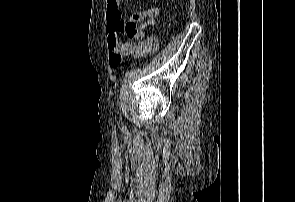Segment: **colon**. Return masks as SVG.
<instances>
[{
  "label": "colon",
  "instance_id": "obj_1",
  "mask_svg": "<svg viewBox=\"0 0 295 202\" xmlns=\"http://www.w3.org/2000/svg\"><path fill=\"white\" fill-rule=\"evenodd\" d=\"M111 29L109 32V42L111 47L118 49L124 44L130 43L124 40L132 41L141 35V29L138 25V20L134 18V15L122 19L117 23H110ZM139 49H135L138 51Z\"/></svg>",
  "mask_w": 295,
  "mask_h": 202
}]
</instances>
